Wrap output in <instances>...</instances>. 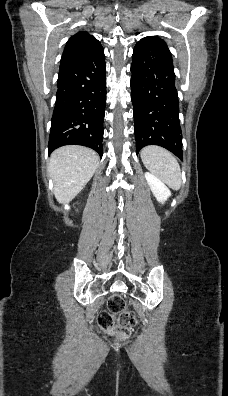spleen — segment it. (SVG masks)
<instances>
[{"instance_id": "3e777b00", "label": "spleen", "mask_w": 228, "mask_h": 396, "mask_svg": "<svg viewBox=\"0 0 228 396\" xmlns=\"http://www.w3.org/2000/svg\"><path fill=\"white\" fill-rule=\"evenodd\" d=\"M145 167L170 188L179 190L182 184L181 169L176 158L166 149L150 145L142 149Z\"/></svg>"}]
</instances>
